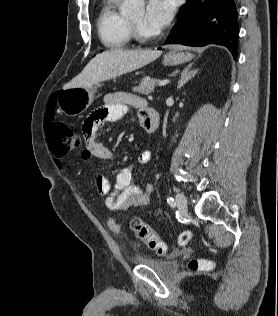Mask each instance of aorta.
<instances>
[{
    "label": "aorta",
    "mask_w": 278,
    "mask_h": 316,
    "mask_svg": "<svg viewBox=\"0 0 278 316\" xmlns=\"http://www.w3.org/2000/svg\"><path fill=\"white\" fill-rule=\"evenodd\" d=\"M144 0H124L120 8L122 15H136L143 11Z\"/></svg>",
    "instance_id": "obj_1"
}]
</instances>
